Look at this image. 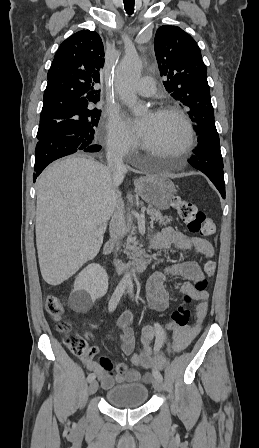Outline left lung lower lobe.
<instances>
[{"instance_id": "1", "label": "left lung lower lobe", "mask_w": 259, "mask_h": 448, "mask_svg": "<svg viewBox=\"0 0 259 448\" xmlns=\"http://www.w3.org/2000/svg\"><path fill=\"white\" fill-rule=\"evenodd\" d=\"M189 163L203 172L225 198L223 159L220 151V140L217 132L198 136V146Z\"/></svg>"}]
</instances>
